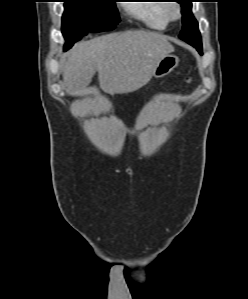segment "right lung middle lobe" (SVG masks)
Segmentation results:
<instances>
[{"label": "right lung middle lobe", "instance_id": "obj_1", "mask_svg": "<svg viewBox=\"0 0 248 299\" xmlns=\"http://www.w3.org/2000/svg\"><path fill=\"white\" fill-rule=\"evenodd\" d=\"M62 33L65 50L87 31L112 30L120 22L115 0H64Z\"/></svg>", "mask_w": 248, "mask_h": 299}]
</instances>
